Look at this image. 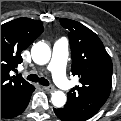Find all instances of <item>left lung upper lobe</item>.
<instances>
[{"label": "left lung upper lobe", "instance_id": "left-lung-upper-lobe-1", "mask_svg": "<svg viewBox=\"0 0 121 121\" xmlns=\"http://www.w3.org/2000/svg\"><path fill=\"white\" fill-rule=\"evenodd\" d=\"M70 32L73 75L80 85L68 92L64 109L73 117L85 121L91 118L107 100L112 85L113 65L99 37L81 23L60 19Z\"/></svg>", "mask_w": 121, "mask_h": 121}]
</instances>
